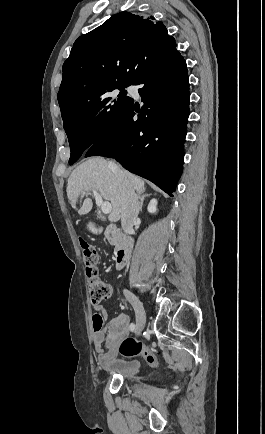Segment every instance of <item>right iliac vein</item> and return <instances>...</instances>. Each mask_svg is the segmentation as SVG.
<instances>
[{"mask_svg":"<svg viewBox=\"0 0 265 434\" xmlns=\"http://www.w3.org/2000/svg\"><path fill=\"white\" fill-rule=\"evenodd\" d=\"M124 295L132 303L135 309V313H136L135 332L136 335H140L146 322L145 310L143 308L142 303L135 295L130 293L128 290H124Z\"/></svg>","mask_w":265,"mask_h":434,"instance_id":"1","label":"right iliac vein"}]
</instances>
